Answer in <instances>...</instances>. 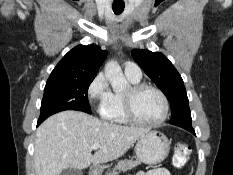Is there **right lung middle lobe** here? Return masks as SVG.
Segmentation results:
<instances>
[{
	"label": "right lung middle lobe",
	"mask_w": 233,
	"mask_h": 175,
	"mask_svg": "<svg viewBox=\"0 0 233 175\" xmlns=\"http://www.w3.org/2000/svg\"><path fill=\"white\" fill-rule=\"evenodd\" d=\"M94 77L48 79L44 89L39 120L64 110L91 113L87 98Z\"/></svg>",
	"instance_id": "dd1d6c3e"
}]
</instances>
